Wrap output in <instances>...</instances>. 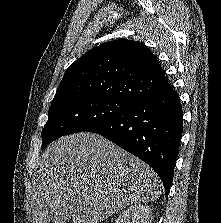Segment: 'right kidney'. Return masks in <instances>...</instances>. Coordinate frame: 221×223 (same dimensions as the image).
Segmentation results:
<instances>
[{
    "label": "right kidney",
    "mask_w": 221,
    "mask_h": 223,
    "mask_svg": "<svg viewBox=\"0 0 221 223\" xmlns=\"http://www.w3.org/2000/svg\"><path fill=\"white\" fill-rule=\"evenodd\" d=\"M115 223H152V210L147 205H132L119 215Z\"/></svg>",
    "instance_id": "ca27d5eb"
}]
</instances>
